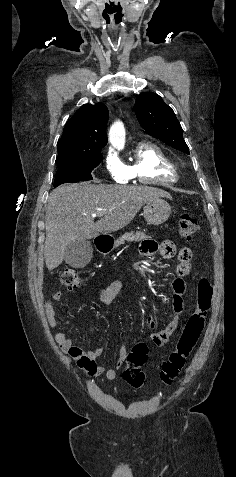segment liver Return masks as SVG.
<instances>
[{
    "instance_id": "1",
    "label": "liver",
    "mask_w": 236,
    "mask_h": 477,
    "mask_svg": "<svg viewBox=\"0 0 236 477\" xmlns=\"http://www.w3.org/2000/svg\"><path fill=\"white\" fill-rule=\"evenodd\" d=\"M170 198L164 190L150 186L65 184L54 189L46 209L45 263L49 271L64 259L68 244L92 239L126 227L142 206L157 198ZM104 213L96 223L92 214Z\"/></svg>"
}]
</instances>
